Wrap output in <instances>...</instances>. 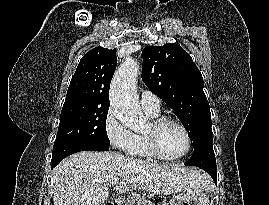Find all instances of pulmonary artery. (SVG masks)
<instances>
[{
  "label": "pulmonary artery",
  "mask_w": 269,
  "mask_h": 205,
  "mask_svg": "<svg viewBox=\"0 0 269 205\" xmlns=\"http://www.w3.org/2000/svg\"><path fill=\"white\" fill-rule=\"evenodd\" d=\"M160 103V99L150 91L141 93V106L144 110L158 112L160 111Z\"/></svg>",
  "instance_id": "1"
}]
</instances>
